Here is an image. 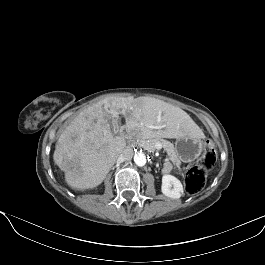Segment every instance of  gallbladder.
<instances>
[{
  "instance_id": "bac80fb5",
  "label": "gallbladder",
  "mask_w": 265,
  "mask_h": 265,
  "mask_svg": "<svg viewBox=\"0 0 265 265\" xmlns=\"http://www.w3.org/2000/svg\"><path fill=\"white\" fill-rule=\"evenodd\" d=\"M113 133L114 134H117L118 133V131H117V126H118V123H119V120H118V118H115V119H113Z\"/></svg>"
}]
</instances>
